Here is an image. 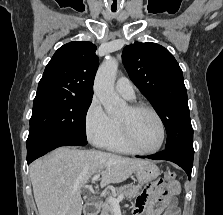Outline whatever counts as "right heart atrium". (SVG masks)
I'll use <instances>...</instances> for the list:
<instances>
[{
    "label": "right heart atrium",
    "mask_w": 223,
    "mask_h": 215,
    "mask_svg": "<svg viewBox=\"0 0 223 215\" xmlns=\"http://www.w3.org/2000/svg\"><path fill=\"white\" fill-rule=\"evenodd\" d=\"M117 121L109 116L100 101L93 98L85 113V129L88 137L96 144L103 142L112 134Z\"/></svg>",
    "instance_id": "d8ad5b80"
}]
</instances>
